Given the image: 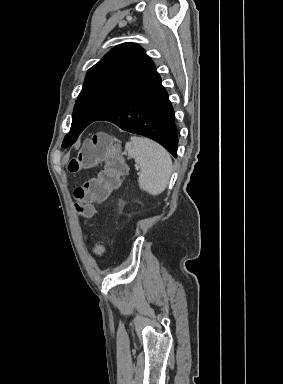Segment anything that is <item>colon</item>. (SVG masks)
Instances as JSON below:
<instances>
[{
	"mask_svg": "<svg viewBox=\"0 0 283 384\" xmlns=\"http://www.w3.org/2000/svg\"><path fill=\"white\" fill-rule=\"evenodd\" d=\"M104 162L105 166L97 176L88 179L74 191L75 208L78 214L89 218L94 213L93 204L102 202L113 189L120 185V179L127 168L118 153V146L112 138L104 133H94L81 147L76 157L68 163L70 172L92 168ZM104 248L96 247V253L101 255Z\"/></svg>",
	"mask_w": 283,
	"mask_h": 384,
	"instance_id": "5ec220e1",
	"label": "colon"
}]
</instances>
